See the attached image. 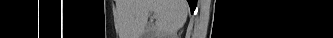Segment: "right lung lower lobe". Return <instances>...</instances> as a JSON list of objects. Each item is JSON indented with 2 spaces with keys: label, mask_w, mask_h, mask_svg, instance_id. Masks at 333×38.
I'll use <instances>...</instances> for the list:
<instances>
[{
  "label": "right lung lower lobe",
  "mask_w": 333,
  "mask_h": 38,
  "mask_svg": "<svg viewBox=\"0 0 333 38\" xmlns=\"http://www.w3.org/2000/svg\"><path fill=\"white\" fill-rule=\"evenodd\" d=\"M189 5H190V8H191V12L194 10L195 8V3L196 1L195 0H187Z\"/></svg>",
  "instance_id": "1"
}]
</instances>
